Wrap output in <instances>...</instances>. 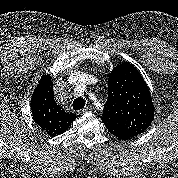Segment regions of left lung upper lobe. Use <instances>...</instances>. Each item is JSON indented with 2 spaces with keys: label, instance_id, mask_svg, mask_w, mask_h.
Here are the masks:
<instances>
[{
  "label": "left lung upper lobe",
  "instance_id": "obj_1",
  "mask_svg": "<svg viewBox=\"0 0 178 178\" xmlns=\"http://www.w3.org/2000/svg\"><path fill=\"white\" fill-rule=\"evenodd\" d=\"M108 82L103 123L143 133L154 119V106L139 71L128 62L122 63L112 70Z\"/></svg>",
  "mask_w": 178,
  "mask_h": 178
}]
</instances>
